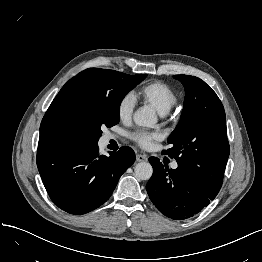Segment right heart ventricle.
<instances>
[{"instance_id": "obj_1", "label": "right heart ventricle", "mask_w": 262, "mask_h": 262, "mask_svg": "<svg viewBox=\"0 0 262 262\" xmlns=\"http://www.w3.org/2000/svg\"><path fill=\"white\" fill-rule=\"evenodd\" d=\"M135 98L152 105L160 114H166L176 104L178 96L166 83L154 81L142 86Z\"/></svg>"}]
</instances>
